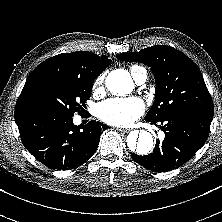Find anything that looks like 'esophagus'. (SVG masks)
Listing matches in <instances>:
<instances>
[{
    "instance_id": "1",
    "label": "esophagus",
    "mask_w": 222,
    "mask_h": 222,
    "mask_svg": "<svg viewBox=\"0 0 222 222\" xmlns=\"http://www.w3.org/2000/svg\"><path fill=\"white\" fill-rule=\"evenodd\" d=\"M121 133H128L130 130L129 129H118Z\"/></svg>"
}]
</instances>
